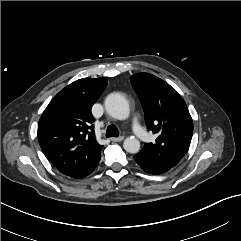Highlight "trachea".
<instances>
[{
	"instance_id": "3493384b",
	"label": "trachea",
	"mask_w": 241,
	"mask_h": 241,
	"mask_svg": "<svg viewBox=\"0 0 241 241\" xmlns=\"http://www.w3.org/2000/svg\"><path fill=\"white\" fill-rule=\"evenodd\" d=\"M119 131L115 125H109L106 130V137H118Z\"/></svg>"
}]
</instances>
